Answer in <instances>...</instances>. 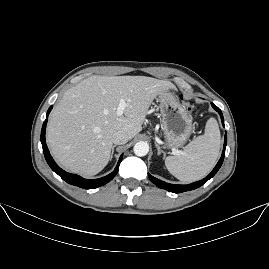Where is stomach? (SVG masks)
Here are the masks:
<instances>
[{
  "mask_svg": "<svg viewBox=\"0 0 269 269\" xmlns=\"http://www.w3.org/2000/svg\"><path fill=\"white\" fill-rule=\"evenodd\" d=\"M162 114V126L166 145L171 148L182 147L192 132V117L169 90L156 96Z\"/></svg>",
  "mask_w": 269,
  "mask_h": 269,
  "instance_id": "stomach-1",
  "label": "stomach"
}]
</instances>
